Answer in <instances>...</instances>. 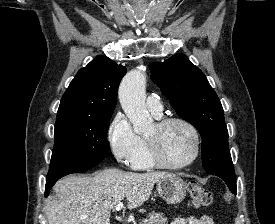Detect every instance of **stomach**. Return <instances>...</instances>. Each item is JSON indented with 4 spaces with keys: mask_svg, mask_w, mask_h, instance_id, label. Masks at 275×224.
Segmentation results:
<instances>
[{
    "mask_svg": "<svg viewBox=\"0 0 275 224\" xmlns=\"http://www.w3.org/2000/svg\"><path fill=\"white\" fill-rule=\"evenodd\" d=\"M159 196L168 204H178L186 196L187 183L178 175L168 173L157 182Z\"/></svg>",
    "mask_w": 275,
    "mask_h": 224,
    "instance_id": "stomach-1",
    "label": "stomach"
}]
</instances>
